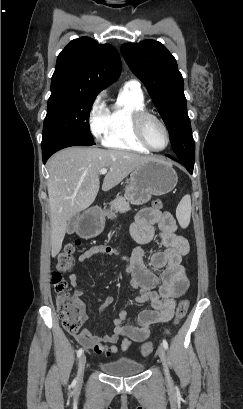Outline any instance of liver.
<instances>
[{"instance_id":"obj_1","label":"liver","mask_w":243,"mask_h":409,"mask_svg":"<svg viewBox=\"0 0 243 409\" xmlns=\"http://www.w3.org/2000/svg\"><path fill=\"white\" fill-rule=\"evenodd\" d=\"M153 159L97 147H69L54 154L47 162L52 257H56L62 248L68 221L94 202L100 188L102 168L109 170L102 184V190L108 191L135 168Z\"/></svg>"}]
</instances>
